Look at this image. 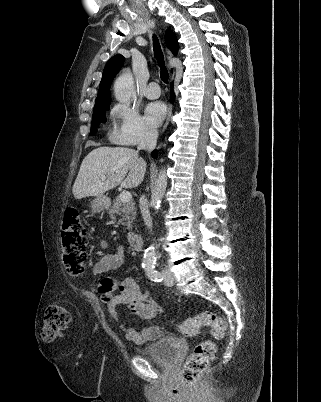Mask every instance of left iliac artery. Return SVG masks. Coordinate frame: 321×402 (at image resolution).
<instances>
[{"label": "left iliac artery", "instance_id": "obj_1", "mask_svg": "<svg viewBox=\"0 0 321 402\" xmlns=\"http://www.w3.org/2000/svg\"><path fill=\"white\" fill-rule=\"evenodd\" d=\"M145 271L147 273V276L152 281L161 282L163 280V275L160 272H158L157 270H155L154 265L145 267Z\"/></svg>", "mask_w": 321, "mask_h": 402}]
</instances>
